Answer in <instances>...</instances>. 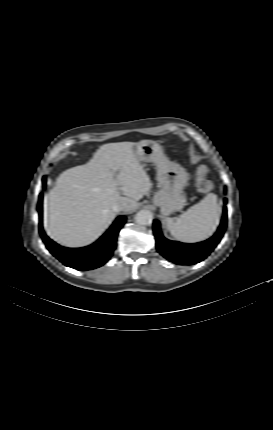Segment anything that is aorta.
<instances>
[{
    "instance_id": "aorta-1",
    "label": "aorta",
    "mask_w": 273,
    "mask_h": 430,
    "mask_svg": "<svg viewBox=\"0 0 273 430\" xmlns=\"http://www.w3.org/2000/svg\"><path fill=\"white\" fill-rule=\"evenodd\" d=\"M153 214L148 210H141L135 215V222L139 225H150L152 224Z\"/></svg>"
}]
</instances>
